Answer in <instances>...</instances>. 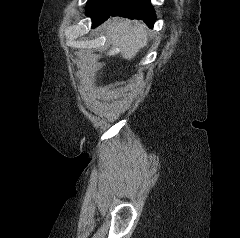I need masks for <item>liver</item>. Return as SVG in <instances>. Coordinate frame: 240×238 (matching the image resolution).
<instances>
[{"label":"liver","instance_id":"obj_1","mask_svg":"<svg viewBox=\"0 0 240 238\" xmlns=\"http://www.w3.org/2000/svg\"><path fill=\"white\" fill-rule=\"evenodd\" d=\"M104 29L113 47H118L122 56L128 60L135 57L147 43V33L140 22L131 25L130 21L109 19L104 24Z\"/></svg>","mask_w":240,"mask_h":238}]
</instances>
